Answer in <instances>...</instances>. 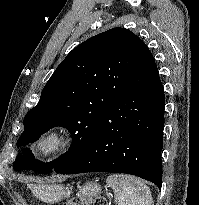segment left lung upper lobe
Returning <instances> with one entry per match:
<instances>
[{"mask_svg":"<svg viewBox=\"0 0 199 205\" xmlns=\"http://www.w3.org/2000/svg\"><path fill=\"white\" fill-rule=\"evenodd\" d=\"M144 45L130 30L116 27L74 48L46 83L38 104L26 114L17 146L38 140L55 126L67 128L74 143L50 163L34 159L26 148L17 156L14 169L60 173L74 163L91 143L105 113L125 91Z\"/></svg>","mask_w":199,"mask_h":205,"instance_id":"left-lung-upper-lobe-1","label":"left lung upper lobe"}]
</instances>
